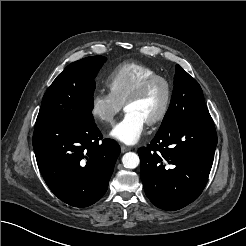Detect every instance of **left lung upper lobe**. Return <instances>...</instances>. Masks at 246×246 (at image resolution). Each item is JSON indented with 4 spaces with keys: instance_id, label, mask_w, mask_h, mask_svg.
Instances as JSON below:
<instances>
[{
    "instance_id": "obj_1",
    "label": "left lung upper lobe",
    "mask_w": 246,
    "mask_h": 246,
    "mask_svg": "<svg viewBox=\"0 0 246 246\" xmlns=\"http://www.w3.org/2000/svg\"><path fill=\"white\" fill-rule=\"evenodd\" d=\"M208 113L200 85L177 64L171 103L158 132L179 120Z\"/></svg>"
}]
</instances>
